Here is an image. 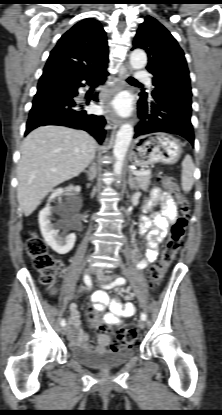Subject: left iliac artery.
I'll list each match as a JSON object with an SVG mask.
<instances>
[{
  "label": "left iliac artery",
  "instance_id": "obj_1",
  "mask_svg": "<svg viewBox=\"0 0 222 415\" xmlns=\"http://www.w3.org/2000/svg\"><path fill=\"white\" fill-rule=\"evenodd\" d=\"M125 283V279L123 278V277H118L114 282H112L111 284H109V285H106V286H104V288L105 289H110V288H113V287H115V286H117V285H122V284H124ZM141 319L142 320H146V318H147V316H146V314L145 313H141Z\"/></svg>",
  "mask_w": 222,
  "mask_h": 415
}]
</instances>
